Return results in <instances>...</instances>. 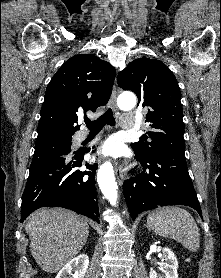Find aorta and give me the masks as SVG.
Listing matches in <instances>:
<instances>
[{
  "label": "aorta",
  "instance_id": "1",
  "mask_svg": "<svg viewBox=\"0 0 221 278\" xmlns=\"http://www.w3.org/2000/svg\"><path fill=\"white\" fill-rule=\"evenodd\" d=\"M135 103L136 100L134 97H130L129 99L123 98L119 103V106L123 110H128L133 108ZM97 182L104 197L110 202L111 205L115 206L118 198V185L115 181L111 163L106 162L99 168L97 173Z\"/></svg>",
  "mask_w": 221,
  "mask_h": 278
}]
</instances>
